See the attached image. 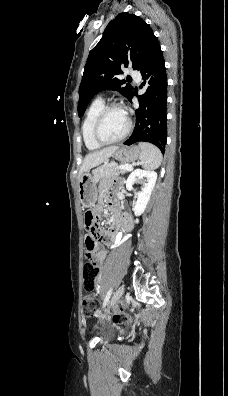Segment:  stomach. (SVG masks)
I'll list each match as a JSON object with an SVG mask.
<instances>
[{
	"label": "stomach",
	"mask_w": 228,
	"mask_h": 396,
	"mask_svg": "<svg viewBox=\"0 0 228 396\" xmlns=\"http://www.w3.org/2000/svg\"><path fill=\"white\" fill-rule=\"evenodd\" d=\"M113 158L122 163H131L139 159L141 150L138 146L122 147L113 153ZM97 170L90 173L86 171L82 174L78 182V195L83 207H92L97 200V187L94 179Z\"/></svg>",
	"instance_id": "1"
}]
</instances>
